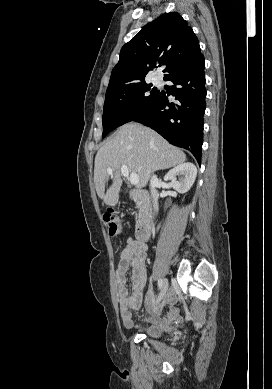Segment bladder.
<instances>
[{
	"label": "bladder",
	"instance_id": "1",
	"mask_svg": "<svg viewBox=\"0 0 272 389\" xmlns=\"http://www.w3.org/2000/svg\"><path fill=\"white\" fill-rule=\"evenodd\" d=\"M164 334V332L162 330H160L159 328H154L151 330L150 332V335L154 336V337H160Z\"/></svg>",
	"mask_w": 272,
	"mask_h": 389
}]
</instances>
